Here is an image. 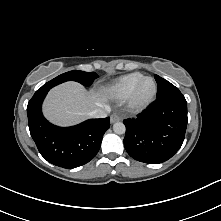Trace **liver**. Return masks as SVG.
<instances>
[{"mask_svg":"<svg viewBox=\"0 0 221 221\" xmlns=\"http://www.w3.org/2000/svg\"><path fill=\"white\" fill-rule=\"evenodd\" d=\"M107 100V91H87L76 82H66L54 87L43 104V113L52 123L70 126L82 122L89 113Z\"/></svg>","mask_w":221,"mask_h":221,"instance_id":"liver-1","label":"liver"}]
</instances>
